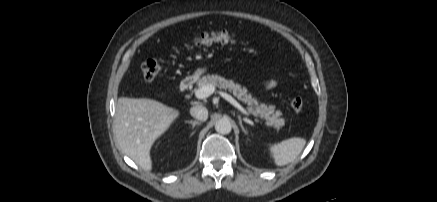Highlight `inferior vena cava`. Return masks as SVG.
<instances>
[{
	"mask_svg": "<svg viewBox=\"0 0 437 202\" xmlns=\"http://www.w3.org/2000/svg\"><path fill=\"white\" fill-rule=\"evenodd\" d=\"M190 114H191V116H193L194 118H196L200 121H206L208 118V110L206 107H204L202 105L193 106L190 109Z\"/></svg>",
	"mask_w": 437,
	"mask_h": 202,
	"instance_id": "1",
	"label": "inferior vena cava"
}]
</instances>
